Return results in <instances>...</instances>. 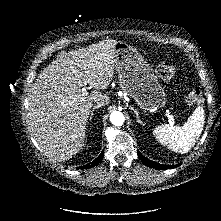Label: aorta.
I'll return each mask as SVG.
<instances>
[{
    "instance_id": "aorta-1",
    "label": "aorta",
    "mask_w": 221,
    "mask_h": 221,
    "mask_svg": "<svg viewBox=\"0 0 221 221\" xmlns=\"http://www.w3.org/2000/svg\"><path fill=\"white\" fill-rule=\"evenodd\" d=\"M110 121L115 126H121L125 121V117L123 113L119 111H113L110 115Z\"/></svg>"
}]
</instances>
